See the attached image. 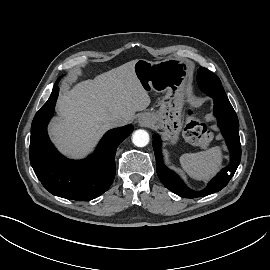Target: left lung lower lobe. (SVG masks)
<instances>
[{
  "instance_id": "obj_1",
  "label": "left lung lower lobe",
  "mask_w": 270,
  "mask_h": 270,
  "mask_svg": "<svg viewBox=\"0 0 270 270\" xmlns=\"http://www.w3.org/2000/svg\"><path fill=\"white\" fill-rule=\"evenodd\" d=\"M214 115L218 119V126L226 139L230 151L231 163L223 168L201 191L189 189L173 171L168 169L161 157L160 139L153 136V149L156 157L157 174L164 186L170 191L184 198L207 196L223 189L234 175L241 160V144L239 138V121L229 100L214 99Z\"/></svg>"
}]
</instances>
